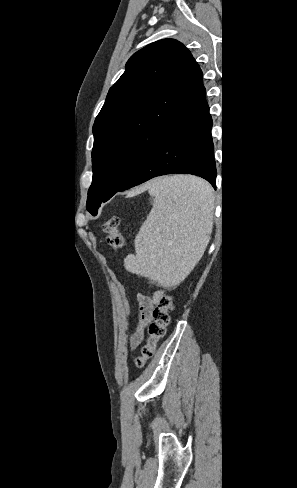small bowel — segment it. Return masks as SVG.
I'll use <instances>...</instances> for the list:
<instances>
[{"label": "small bowel", "mask_w": 297, "mask_h": 488, "mask_svg": "<svg viewBox=\"0 0 297 488\" xmlns=\"http://www.w3.org/2000/svg\"><path fill=\"white\" fill-rule=\"evenodd\" d=\"M163 296V289L155 291L152 296H145L141 294L137 296L139 328L132 336L131 343L133 345H137L142 340L143 326L151 321L153 310Z\"/></svg>", "instance_id": "1"}]
</instances>
